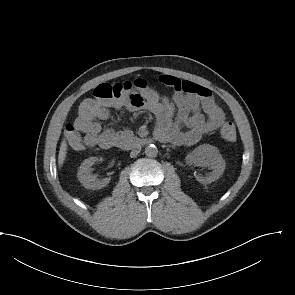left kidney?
Masks as SVG:
<instances>
[{
    "mask_svg": "<svg viewBox=\"0 0 295 295\" xmlns=\"http://www.w3.org/2000/svg\"><path fill=\"white\" fill-rule=\"evenodd\" d=\"M188 164L196 166L210 167V172L206 177L198 176L197 180L202 184H210L217 180L225 170V160L222 158L217 147L203 144L195 148L186 157Z\"/></svg>",
    "mask_w": 295,
    "mask_h": 295,
    "instance_id": "1",
    "label": "left kidney"
}]
</instances>
